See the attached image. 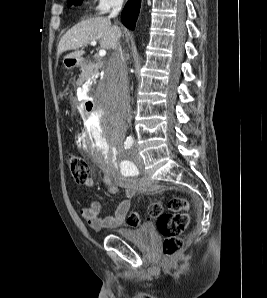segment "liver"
I'll return each mask as SVG.
<instances>
[{"mask_svg":"<svg viewBox=\"0 0 267 298\" xmlns=\"http://www.w3.org/2000/svg\"><path fill=\"white\" fill-rule=\"evenodd\" d=\"M121 34L120 28L112 25L109 18H89L73 26L61 37L57 47V55L74 50V52L66 55L64 59H80L85 53L82 47L96 40L100 41L102 48L114 49Z\"/></svg>","mask_w":267,"mask_h":298,"instance_id":"6515ba94","label":"liver"}]
</instances>
